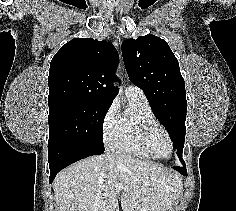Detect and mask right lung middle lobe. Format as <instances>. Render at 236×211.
<instances>
[{"instance_id":"dd1d6c3e","label":"right lung middle lobe","mask_w":236,"mask_h":211,"mask_svg":"<svg viewBox=\"0 0 236 211\" xmlns=\"http://www.w3.org/2000/svg\"><path fill=\"white\" fill-rule=\"evenodd\" d=\"M110 105L70 101L49 107L48 146L89 144L103 149V121Z\"/></svg>"}]
</instances>
